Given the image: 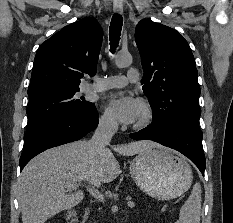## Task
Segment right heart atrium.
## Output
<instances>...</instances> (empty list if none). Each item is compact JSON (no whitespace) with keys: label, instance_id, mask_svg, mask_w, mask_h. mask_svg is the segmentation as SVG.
<instances>
[{"label":"right heart atrium","instance_id":"right-heart-atrium-1","mask_svg":"<svg viewBox=\"0 0 233 223\" xmlns=\"http://www.w3.org/2000/svg\"><path fill=\"white\" fill-rule=\"evenodd\" d=\"M99 127L107 132H115L118 124L108 112H104L99 118Z\"/></svg>","mask_w":233,"mask_h":223}]
</instances>
